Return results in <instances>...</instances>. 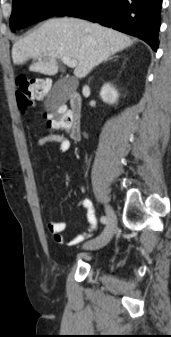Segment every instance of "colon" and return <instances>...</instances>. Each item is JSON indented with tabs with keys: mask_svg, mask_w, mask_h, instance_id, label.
<instances>
[{
	"mask_svg": "<svg viewBox=\"0 0 171 337\" xmlns=\"http://www.w3.org/2000/svg\"><path fill=\"white\" fill-rule=\"evenodd\" d=\"M50 84L47 80L40 77L20 76L16 80V101L20 111H26L33 105L36 97H52L49 91ZM54 107H61V100L53 101ZM44 118L48 119L47 127L50 131L67 130L69 127V117L66 112L60 109L56 113L50 112V107H44Z\"/></svg>",
	"mask_w": 171,
	"mask_h": 337,
	"instance_id": "obj_1",
	"label": "colon"
}]
</instances>
